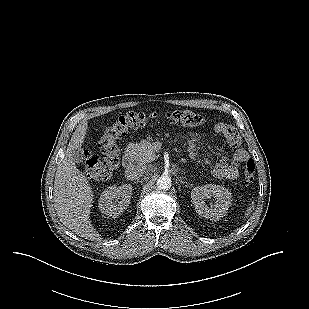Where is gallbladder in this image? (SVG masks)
Listing matches in <instances>:
<instances>
[{
	"label": "gallbladder",
	"mask_w": 309,
	"mask_h": 309,
	"mask_svg": "<svg viewBox=\"0 0 309 309\" xmlns=\"http://www.w3.org/2000/svg\"><path fill=\"white\" fill-rule=\"evenodd\" d=\"M71 154L73 161L76 163H80L84 160V152L81 148L72 149Z\"/></svg>",
	"instance_id": "1"
}]
</instances>
